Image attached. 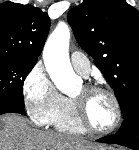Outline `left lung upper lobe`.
<instances>
[{
  "label": "left lung upper lobe",
  "mask_w": 139,
  "mask_h": 150,
  "mask_svg": "<svg viewBox=\"0 0 139 150\" xmlns=\"http://www.w3.org/2000/svg\"><path fill=\"white\" fill-rule=\"evenodd\" d=\"M67 18L79 45L107 78L124 115L139 100V11L125 0H84Z\"/></svg>",
  "instance_id": "left-lung-upper-lobe-1"
}]
</instances>
